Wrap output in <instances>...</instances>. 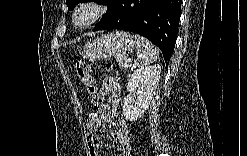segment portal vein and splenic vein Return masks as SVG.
Here are the masks:
<instances>
[{"mask_svg":"<svg viewBox=\"0 0 247 156\" xmlns=\"http://www.w3.org/2000/svg\"><path fill=\"white\" fill-rule=\"evenodd\" d=\"M130 62H131V59H128V63H130ZM128 66H129V65L127 64L126 67H128Z\"/></svg>","mask_w":247,"mask_h":156,"instance_id":"portal-vein-and-splenic-vein-1","label":"portal vein and splenic vein"}]
</instances>
